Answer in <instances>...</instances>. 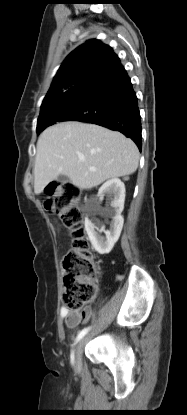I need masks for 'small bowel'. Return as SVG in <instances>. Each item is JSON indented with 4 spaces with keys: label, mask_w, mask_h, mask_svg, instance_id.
<instances>
[{
    "label": "small bowel",
    "mask_w": 187,
    "mask_h": 415,
    "mask_svg": "<svg viewBox=\"0 0 187 415\" xmlns=\"http://www.w3.org/2000/svg\"><path fill=\"white\" fill-rule=\"evenodd\" d=\"M61 316L64 318L68 328H75L79 324L86 323L90 319L91 309L86 306L81 310L71 311L63 307L61 309Z\"/></svg>",
    "instance_id": "small-bowel-1"
}]
</instances>
